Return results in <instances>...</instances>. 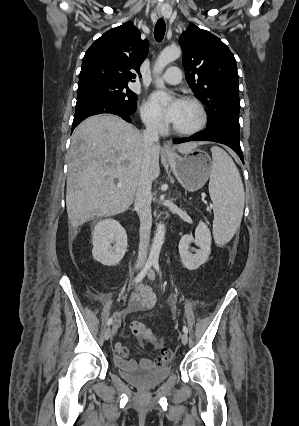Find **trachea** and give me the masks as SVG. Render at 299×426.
Instances as JSON below:
<instances>
[{
  "mask_svg": "<svg viewBox=\"0 0 299 426\" xmlns=\"http://www.w3.org/2000/svg\"><path fill=\"white\" fill-rule=\"evenodd\" d=\"M165 30H166L165 21L162 18H160L157 21L155 28H154V36H155V39L158 42H160L163 39V37L165 35Z\"/></svg>",
  "mask_w": 299,
  "mask_h": 426,
  "instance_id": "1",
  "label": "trachea"
}]
</instances>
